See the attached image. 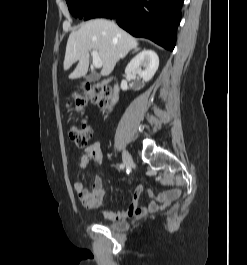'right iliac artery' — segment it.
<instances>
[{
	"instance_id": "obj_1",
	"label": "right iliac artery",
	"mask_w": 247,
	"mask_h": 265,
	"mask_svg": "<svg viewBox=\"0 0 247 265\" xmlns=\"http://www.w3.org/2000/svg\"><path fill=\"white\" fill-rule=\"evenodd\" d=\"M123 168H124V165H123V164H121V165H120V169H123Z\"/></svg>"
}]
</instances>
